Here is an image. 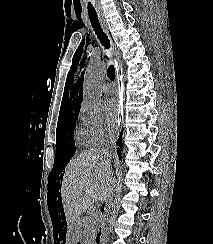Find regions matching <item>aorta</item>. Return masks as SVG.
<instances>
[{
    "label": "aorta",
    "mask_w": 213,
    "mask_h": 244,
    "mask_svg": "<svg viewBox=\"0 0 213 244\" xmlns=\"http://www.w3.org/2000/svg\"><path fill=\"white\" fill-rule=\"evenodd\" d=\"M105 65L101 61H95L88 65L83 82V100L92 107H98L101 103V91L99 84L105 76Z\"/></svg>",
    "instance_id": "obj_1"
}]
</instances>
